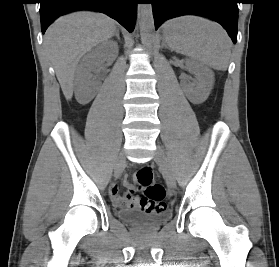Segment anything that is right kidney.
<instances>
[{
	"label": "right kidney",
	"instance_id": "1",
	"mask_svg": "<svg viewBox=\"0 0 279 267\" xmlns=\"http://www.w3.org/2000/svg\"><path fill=\"white\" fill-rule=\"evenodd\" d=\"M113 54L117 56L118 48L115 47L113 50L111 45L103 43L85 56L86 68L77 74L75 79V95L79 103L87 104L94 98L100 82L93 78L91 71L103 58Z\"/></svg>",
	"mask_w": 279,
	"mask_h": 267
}]
</instances>
